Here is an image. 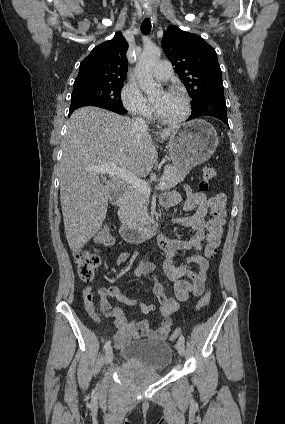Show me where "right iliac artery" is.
Masks as SVG:
<instances>
[{"mask_svg": "<svg viewBox=\"0 0 285 424\" xmlns=\"http://www.w3.org/2000/svg\"><path fill=\"white\" fill-rule=\"evenodd\" d=\"M110 346H111V341L110 340H108L106 343H105V345H104V350L106 351V350H108L109 348H110Z\"/></svg>", "mask_w": 285, "mask_h": 424, "instance_id": "1", "label": "right iliac artery"}]
</instances>
